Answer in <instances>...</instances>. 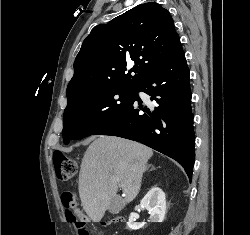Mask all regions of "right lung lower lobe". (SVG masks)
<instances>
[{"label": "right lung lower lobe", "instance_id": "obj_1", "mask_svg": "<svg viewBox=\"0 0 250 235\" xmlns=\"http://www.w3.org/2000/svg\"><path fill=\"white\" fill-rule=\"evenodd\" d=\"M189 69L180 40L169 58L136 87L127 106L93 135H112L145 144L179 162L192 178L195 134ZM143 91L158 104L148 108Z\"/></svg>", "mask_w": 250, "mask_h": 235}]
</instances>
